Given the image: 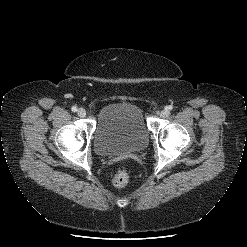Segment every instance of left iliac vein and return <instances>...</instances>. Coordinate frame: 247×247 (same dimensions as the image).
Instances as JSON below:
<instances>
[{
    "mask_svg": "<svg viewBox=\"0 0 247 247\" xmlns=\"http://www.w3.org/2000/svg\"><path fill=\"white\" fill-rule=\"evenodd\" d=\"M170 115V110L169 109H164L160 112L161 117H168Z\"/></svg>",
    "mask_w": 247,
    "mask_h": 247,
    "instance_id": "4c4485c4",
    "label": "left iliac vein"
}]
</instances>
